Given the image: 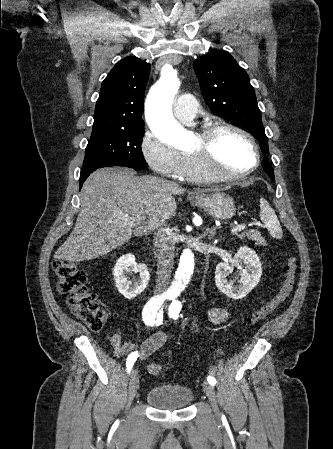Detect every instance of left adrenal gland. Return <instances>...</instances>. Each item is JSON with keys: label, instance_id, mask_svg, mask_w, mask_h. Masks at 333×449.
I'll list each match as a JSON object with an SVG mask.
<instances>
[{"label": "left adrenal gland", "instance_id": "left-adrenal-gland-1", "mask_svg": "<svg viewBox=\"0 0 333 449\" xmlns=\"http://www.w3.org/2000/svg\"><path fill=\"white\" fill-rule=\"evenodd\" d=\"M216 229H217V228H211V229L208 228V229H207V231H208V236H209L210 239H212L213 236L215 235Z\"/></svg>", "mask_w": 333, "mask_h": 449}]
</instances>
